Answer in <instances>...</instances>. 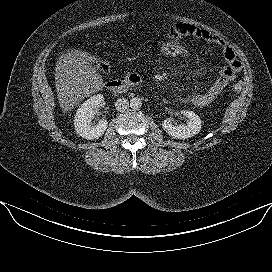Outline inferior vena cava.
<instances>
[{"mask_svg": "<svg viewBox=\"0 0 272 272\" xmlns=\"http://www.w3.org/2000/svg\"><path fill=\"white\" fill-rule=\"evenodd\" d=\"M129 107V101L125 98H119L115 102V108L119 112H123Z\"/></svg>", "mask_w": 272, "mask_h": 272, "instance_id": "1", "label": "inferior vena cava"}]
</instances>
